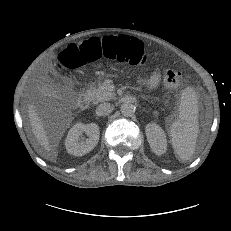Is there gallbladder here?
<instances>
[{
    "instance_id": "bac80fb5",
    "label": "gallbladder",
    "mask_w": 231,
    "mask_h": 231,
    "mask_svg": "<svg viewBox=\"0 0 231 231\" xmlns=\"http://www.w3.org/2000/svg\"><path fill=\"white\" fill-rule=\"evenodd\" d=\"M44 93L49 97H53L57 94V90L52 84L49 83L45 86Z\"/></svg>"
}]
</instances>
